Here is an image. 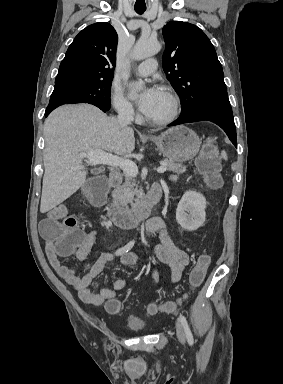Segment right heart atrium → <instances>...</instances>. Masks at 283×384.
<instances>
[{"mask_svg": "<svg viewBox=\"0 0 283 384\" xmlns=\"http://www.w3.org/2000/svg\"><path fill=\"white\" fill-rule=\"evenodd\" d=\"M110 98L112 106L122 118H132L134 116L132 103L126 98L119 87L112 85Z\"/></svg>", "mask_w": 283, "mask_h": 384, "instance_id": "1", "label": "right heart atrium"}]
</instances>
